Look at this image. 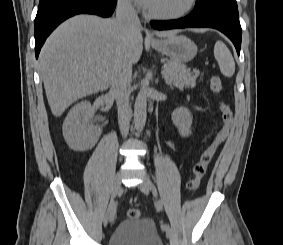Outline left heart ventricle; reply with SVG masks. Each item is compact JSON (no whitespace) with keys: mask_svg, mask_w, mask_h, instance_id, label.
I'll return each instance as SVG.
<instances>
[{"mask_svg":"<svg viewBox=\"0 0 283 245\" xmlns=\"http://www.w3.org/2000/svg\"><path fill=\"white\" fill-rule=\"evenodd\" d=\"M188 0H151L148 10L156 13H175L187 4Z\"/></svg>","mask_w":283,"mask_h":245,"instance_id":"b2bd125f","label":"left heart ventricle"}]
</instances>
